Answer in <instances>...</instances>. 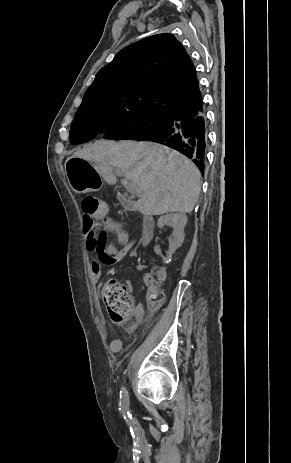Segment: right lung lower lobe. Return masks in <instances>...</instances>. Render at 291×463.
I'll return each instance as SVG.
<instances>
[{
    "label": "right lung lower lobe",
    "mask_w": 291,
    "mask_h": 463,
    "mask_svg": "<svg viewBox=\"0 0 291 463\" xmlns=\"http://www.w3.org/2000/svg\"><path fill=\"white\" fill-rule=\"evenodd\" d=\"M136 140H149L169 146L190 158L204 174L207 133L202 107L194 116L180 113L165 115L160 126Z\"/></svg>",
    "instance_id": "1"
}]
</instances>
